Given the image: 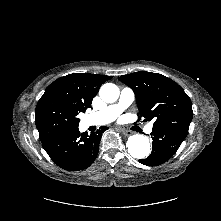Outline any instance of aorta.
<instances>
[{
  "label": "aorta",
  "mask_w": 221,
  "mask_h": 221,
  "mask_svg": "<svg viewBox=\"0 0 221 221\" xmlns=\"http://www.w3.org/2000/svg\"><path fill=\"white\" fill-rule=\"evenodd\" d=\"M119 88L113 83L103 84L100 88L99 95L106 103H113L119 97ZM126 146L129 154L137 159H143L150 153V143L147 137L141 134H135L128 138Z\"/></svg>",
  "instance_id": "762f6f07"
}]
</instances>
